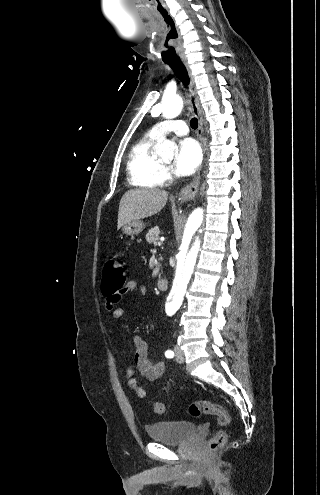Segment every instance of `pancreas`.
Segmentation results:
<instances>
[{
    "label": "pancreas",
    "mask_w": 320,
    "mask_h": 495,
    "mask_svg": "<svg viewBox=\"0 0 320 495\" xmlns=\"http://www.w3.org/2000/svg\"><path fill=\"white\" fill-rule=\"evenodd\" d=\"M159 234H160V231H159L158 227H154V228L150 229L146 235V241L148 243L156 245L158 240H159Z\"/></svg>",
    "instance_id": "1"
}]
</instances>
